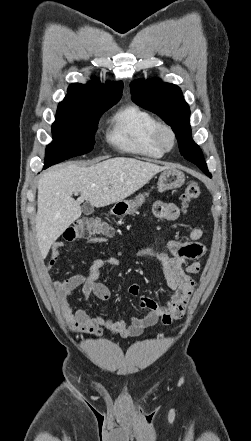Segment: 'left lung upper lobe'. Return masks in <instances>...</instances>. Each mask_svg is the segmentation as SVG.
Returning a JSON list of instances; mask_svg holds the SVG:
<instances>
[{
	"mask_svg": "<svg viewBox=\"0 0 251 441\" xmlns=\"http://www.w3.org/2000/svg\"><path fill=\"white\" fill-rule=\"evenodd\" d=\"M132 100L159 115L176 134L181 155L210 176L199 146L192 140L190 110L181 89L159 79L136 80L130 84Z\"/></svg>",
	"mask_w": 251,
	"mask_h": 441,
	"instance_id": "obj_1",
	"label": "left lung upper lobe"
}]
</instances>
